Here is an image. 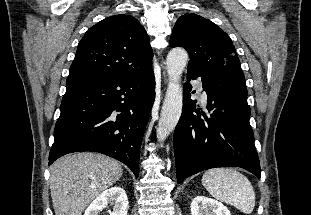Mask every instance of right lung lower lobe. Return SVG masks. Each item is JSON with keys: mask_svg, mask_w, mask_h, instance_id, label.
I'll return each mask as SVG.
<instances>
[{"mask_svg": "<svg viewBox=\"0 0 311 215\" xmlns=\"http://www.w3.org/2000/svg\"><path fill=\"white\" fill-rule=\"evenodd\" d=\"M154 98L153 70L131 77L68 79L49 165L68 153L94 151L123 162L137 177Z\"/></svg>", "mask_w": 311, "mask_h": 215, "instance_id": "1", "label": "right lung lower lobe"}]
</instances>
